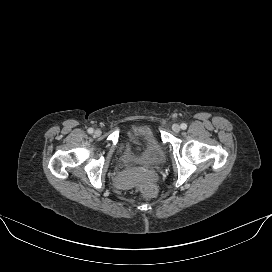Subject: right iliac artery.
Here are the masks:
<instances>
[{"instance_id": "1", "label": "right iliac artery", "mask_w": 272, "mask_h": 272, "mask_svg": "<svg viewBox=\"0 0 272 272\" xmlns=\"http://www.w3.org/2000/svg\"><path fill=\"white\" fill-rule=\"evenodd\" d=\"M93 131H94L93 128H89V129H88V133H89V134H92Z\"/></svg>"}]
</instances>
